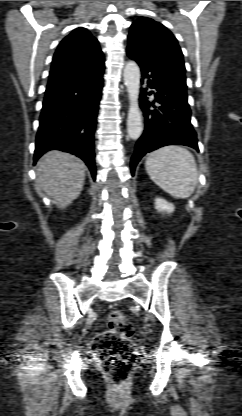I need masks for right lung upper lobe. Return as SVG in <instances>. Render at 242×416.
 I'll return each mask as SVG.
<instances>
[{"instance_id":"1","label":"right lung upper lobe","mask_w":242,"mask_h":416,"mask_svg":"<svg viewBox=\"0 0 242 416\" xmlns=\"http://www.w3.org/2000/svg\"><path fill=\"white\" fill-rule=\"evenodd\" d=\"M104 70L98 40L85 28H77L59 44L52 61L47 87L77 81Z\"/></svg>"}]
</instances>
